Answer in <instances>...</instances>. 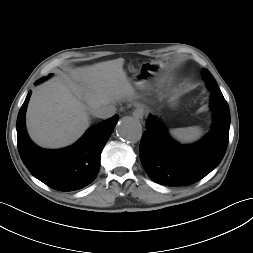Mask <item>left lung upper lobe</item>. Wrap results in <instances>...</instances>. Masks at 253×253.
<instances>
[{"label":"left lung upper lobe","instance_id":"obj_1","mask_svg":"<svg viewBox=\"0 0 253 253\" xmlns=\"http://www.w3.org/2000/svg\"><path fill=\"white\" fill-rule=\"evenodd\" d=\"M203 77L209 90H211V92L221 93L216 80L207 69H203Z\"/></svg>","mask_w":253,"mask_h":253}]
</instances>
